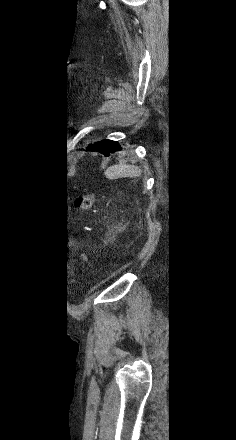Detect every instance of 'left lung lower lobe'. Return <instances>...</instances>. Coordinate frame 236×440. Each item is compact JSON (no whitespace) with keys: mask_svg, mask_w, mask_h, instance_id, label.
<instances>
[{"mask_svg":"<svg viewBox=\"0 0 236 440\" xmlns=\"http://www.w3.org/2000/svg\"><path fill=\"white\" fill-rule=\"evenodd\" d=\"M120 150L121 147L117 144V142L111 140L96 142L87 147V151H97L104 154L105 156H109L110 153H114Z\"/></svg>","mask_w":236,"mask_h":440,"instance_id":"left-lung-lower-lobe-1","label":"left lung lower lobe"}]
</instances>
